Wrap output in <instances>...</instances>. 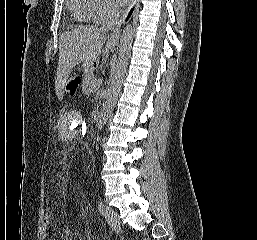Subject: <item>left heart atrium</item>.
Listing matches in <instances>:
<instances>
[{"mask_svg": "<svg viewBox=\"0 0 257 240\" xmlns=\"http://www.w3.org/2000/svg\"><path fill=\"white\" fill-rule=\"evenodd\" d=\"M120 5H125L129 2V0H115Z\"/></svg>", "mask_w": 257, "mask_h": 240, "instance_id": "39dd6f15", "label": "left heart atrium"}]
</instances>
